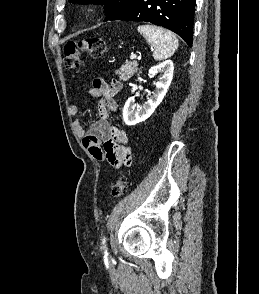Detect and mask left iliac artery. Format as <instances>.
<instances>
[{
  "instance_id": "1",
  "label": "left iliac artery",
  "mask_w": 259,
  "mask_h": 294,
  "mask_svg": "<svg viewBox=\"0 0 259 294\" xmlns=\"http://www.w3.org/2000/svg\"><path fill=\"white\" fill-rule=\"evenodd\" d=\"M105 242H106V240H105V237H104L103 240H102V249L105 250V253H107Z\"/></svg>"
}]
</instances>
